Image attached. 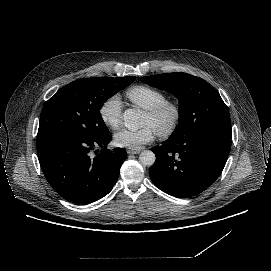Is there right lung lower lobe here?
Returning a JSON list of instances; mask_svg holds the SVG:
<instances>
[{"mask_svg": "<svg viewBox=\"0 0 271 271\" xmlns=\"http://www.w3.org/2000/svg\"><path fill=\"white\" fill-rule=\"evenodd\" d=\"M109 131L89 138L72 133L54 132L37 136L41 169L52 188L64 199L87 204L107 195L115 185L126 150L106 149ZM101 147L92 158V150ZM91 156V157H90Z\"/></svg>", "mask_w": 271, "mask_h": 271, "instance_id": "98d812e1", "label": "right lung lower lobe"}]
</instances>
